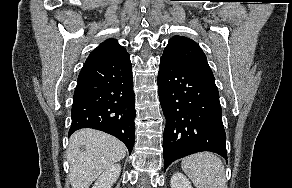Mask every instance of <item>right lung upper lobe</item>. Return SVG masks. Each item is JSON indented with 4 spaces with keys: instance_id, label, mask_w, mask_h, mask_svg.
Segmentation results:
<instances>
[{
    "instance_id": "obj_1",
    "label": "right lung upper lobe",
    "mask_w": 292,
    "mask_h": 188,
    "mask_svg": "<svg viewBox=\"0 0 292 188\" xmlns=\"http://www.w3.org/2000/svg\"><path fill=\"white\" fill-rule=\"evenodd\" d=\"M126 55V49L116 39H107L90 53L86 61L118 59Z\"/></svg>"
}]
</instances>
